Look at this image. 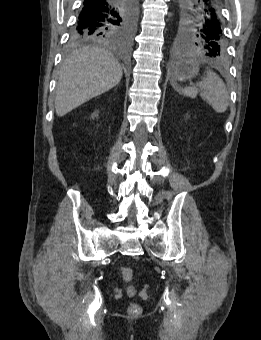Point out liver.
Wrapping results in <instances>:
<instances>
[{"mask_svg":"<svg viewBox=\"0 0 261 340\" xmlns=\"http://www.w3.org/2000/svg\"><path fill=\"white\" fill-rule=\"evenodd\" d=\"M122 68L116 57L98 47H82L64 61L55 97V109L62 117L117 85Z\"/></svg>","mask_w":261,"mask_h":340,"instance_id":"obj_1","label":"liver"}]
</instances>
